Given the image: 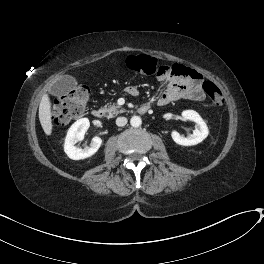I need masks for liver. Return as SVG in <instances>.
I'll return each mask as SVG.
<instances>
[{"label": "liver", "mask_w": 264, "mask_h": 264, "mask_svg": "<svg viewBox=\"0 0 264 264\" xmlns=\"http://www.w3.org/2000/svg\"><path fill=\"white\" fill-rule=\"evenodd\" d=\"M51 115L50 98L48 94H45L39 106V120L46 135H51L53 129Z\"/></svg>", "instance_id": "obj_1"}]
</instances>
